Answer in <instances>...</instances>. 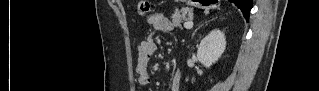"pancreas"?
Listing matches in <instances>:
<instances>
[{
	"mask_svg": "<svg viewBox=\"0 0 319 91\" xmlns=\"http://www.w3.org/2000/svg\"><path fill=\"white\" fill-rule=\"evenodd\" d=\"M192 17H193V12L189 8H182L181 10H176L171 16L174 26L179 29H182V26H181L182 20H185L187 18L192 19Z\"/></svg>",
	"mask_w": 319,
	"mask_h": 91,
	"instance_id": "obj_1",
	"label": "pancreas"
}]
</instances>
